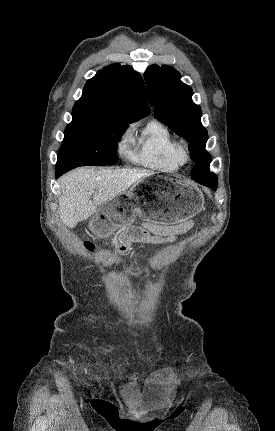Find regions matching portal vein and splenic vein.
I'll use <instances>...</instances> for the list:
<instances>
[{"label":"portal vein and splenic vein","instance_id":"18ae733b","mask_svg":"<svg viewBox=\"0 0 275 431\" xmlns=\"http://www.w3.org/2000/svg\"><path fill=\"white\" fill-rule=\"evenodd\" d=\"M89 194H90V195H92V194H93V191H91Z\"/></svg>","mask_w":275,"mask_h":431}]
</instances>
